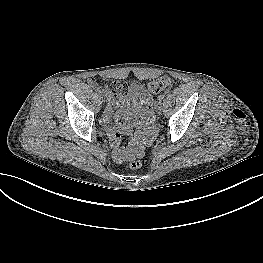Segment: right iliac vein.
<instances>
[{
  "instance_id": "obj_1",
  "label": "right iliac vein",
  "mask_w": 263,
  "mask_h": 263,
  "mask_svg": "<svg viewBox=\"0 0 263 263\" xmlns=\"http://www.w3.org/2000/svg\"><path fill=\"white\" fill-rule=\"evenodd\" d=\"M99 97L102 101H105L107 99V96L105 95V93L103 92L102 94H99Z\"/></svg>"
}]
</instances>
